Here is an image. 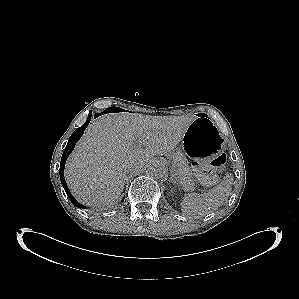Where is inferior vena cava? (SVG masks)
<instances>
[{
    "label": "inferior vena cava",
    "instance_id": "602c4592",
    "mask_svg": "<svg viewBox=\"0 0 299 299\" xmlns=\"http://www.w3.org/2000/svg\"><path fill=\"white\" fill-rule=\"evenodd\" d=\"M136 169H137L136 166H134V165L130 166V172H133V171L136 170Z\"/></svg>",
    "mask_w": 299,
    "mask_h": 299
}]
</instances>
